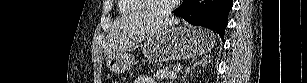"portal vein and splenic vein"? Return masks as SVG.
Here are the masks:
<instances>
[{
  "instance_id": "1",
  "label": "portal vein and splenic vein",
  "mask_w": 307,
  "mask_h": 83,
  "mask_svg": "<svg viewBox=\"0 0 307 83\" xmlns=\"http://www.w3.org/2000/svg\"><path fill=\"white\" fill-rule=\"evenodd\" d=\"M170 79H176L177 78V74L176 73H171L169 76Z\"/></svg>"
}]
</instances>
